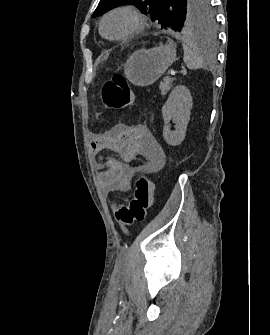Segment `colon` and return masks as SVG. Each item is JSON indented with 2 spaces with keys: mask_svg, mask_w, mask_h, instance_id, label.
I'll return each mask as SVG.
<instances>
[{
  "mask_svg": "<svg viewBox=\"0 0 270 335\" xmlns=\"http://www.w3.org/2000/svg\"><path fill=\"white\" fill-rule=\"evenodd\" d=\"M103 101L115 109L128 107L133 94L123 74H116L102 87ZM152 203V181L145 175L138 177L133 196L127 203L116 205V218L123 227L143 222Z\"/></svg>",
  "mask_w": 270,
  "mask_h": 335,
  "instance_id": "1",
  "label": "colon"
}]
</instances>
